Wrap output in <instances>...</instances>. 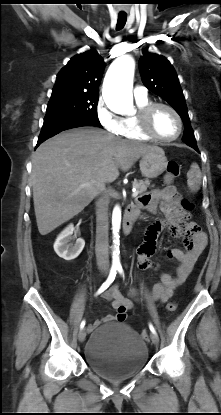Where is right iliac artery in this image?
Here are the masks:
<instances>
[{
    "label": "right iliac artery",
    "mask_w": 221,
    "mask_h": 415,
    "mask_svg": "<svg viewBox=\"0 0 221 415\" xmlns=\"http://www.w3.org/2000/svg\"><path fill=\"white\" fill-rule=\"evenodd\" d=\"M116 274H117V267H112L107 280L98 289L96 295H99L100 293H102L104 290H106L112 284V282L114 281V279L116 277ZM84 326H85V321L83 320L80 324V329H83Z\"/></svg>",
    "instance_id": "right-iliac-artery-1"
}]
</instances>
